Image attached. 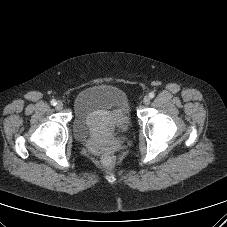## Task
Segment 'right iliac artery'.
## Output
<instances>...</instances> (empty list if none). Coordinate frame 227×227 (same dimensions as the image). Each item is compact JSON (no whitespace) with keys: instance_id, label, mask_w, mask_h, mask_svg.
<instances>
[{"instance_id":"right-iliac-artery-1","label":"right iliac artery","mask_w":227,"mask_h":227,"mask_svg":"<svg viewBox=\"0 0 227 227\" xmlns=\"http://www.w3.org/2000/svg\"><path fill=\"white\" fill-rule=\"evenodd\" d=\"M50 103H51V105H53V106H55V105L57 104V102H56L55 99H52Z\"/></svg>"}]
</instances>
